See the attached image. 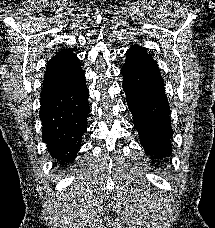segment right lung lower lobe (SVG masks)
<instances>
[{
    "mask_svg": "<svg viewBox=\"0 0 215 228\" xmlns=\"http://www.w3.org/2000/svg\"><path fill=\"white\" fill-rule=\"evenodd\" d=\"M63 84L62 91L41 102L39 111L43 125L42 139L51 157L60 166H66L77 156L90 113L84 74Z\"/></svg>",
    "mask_w": 215,
    "mask_h": 228,
    "instance_id": "1",
    "label": "right lung lower lobe"
}]
</instances>
